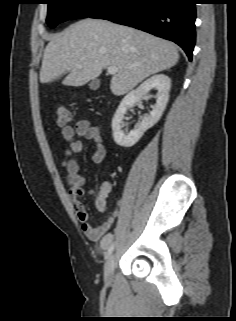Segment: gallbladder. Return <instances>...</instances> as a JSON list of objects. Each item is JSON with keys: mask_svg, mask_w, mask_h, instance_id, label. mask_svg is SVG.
I'll use <instances>...</instances> for the list:
<instances>
[{"mask_svg": "<svg viewBox=\"0 0 236 321\" xmlns=\"http://www.w3.org/2000/svg\"><path fill=\"white\" fill-rule=\"evenodd\" d=\"M90 89L92 90H96L99 87V81L98 80H93L90 84H89Z\"/></svg>", "mask_w": 236, "mask_h": 321, "instance_id": "1", "label": "gallbladder"}]
</instances>
